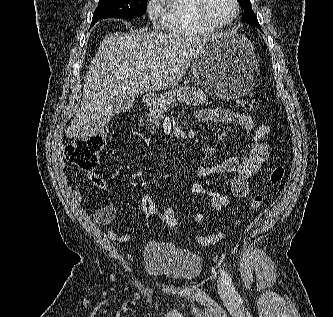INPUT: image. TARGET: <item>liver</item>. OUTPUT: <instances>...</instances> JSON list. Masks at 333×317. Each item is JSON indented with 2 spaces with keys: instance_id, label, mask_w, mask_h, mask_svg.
<instances>
[{
  "instance_id": "obj_1",
  "label": "liver",
  "mask_w": 333,
  "mask_h": 317,
  "mask_svg": "<svg viewBox=\"0 0 333 317\" xmlns=\"http://www.w3.org/2000/svg\"><path fill=\"white\" fill-rule=\"evenodd\" d=\"M213 36L144 29L107 35L86 73L81 106L66 137L87 139L101 130L114 116L111 101L116 96L135 97L176 86Z\"/></svg>"
}]
</instances>
